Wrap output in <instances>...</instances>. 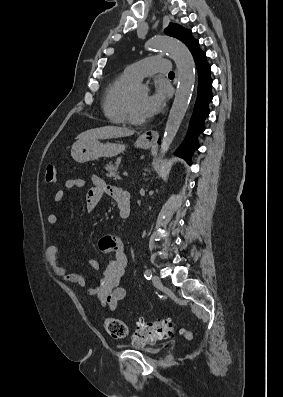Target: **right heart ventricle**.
Masks as SVG:
<instances>
[{"mask_svg": "<svg viewBox=\"0 0 283 397\" xmlns=\"http://www.w3.org/2000/svg\"><path fill=\"white\" fill-rule=\"evenodd\" d=\"M135 81L124 73L113 79L105 89L102 108L105 117L114 124L126 123V104Z\"/></svg>", "mask_w": 283, "mask_h": 397, "instance_id": "e07e8e85", "label": "right heart ventricle"}]
</instances>
